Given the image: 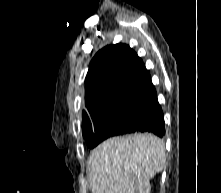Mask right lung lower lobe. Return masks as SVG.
<instances>
[{
  "instance_id": "right-lung-lower-lobe-1",
  "label": "right lung lower lobe",
  "mask_w": 221,
  "mask_h": 193,
  "mask_svg": "<svg viewBox=\"0 0 221 193\" xmlns=\"http://www.w3.org/2000/svg\"><path fill=\"white\" fill-rule=\"evenodd\" d=\"M152 110L137 124L123 132V134H129L134 132H150L159 137H163L165 134V124L162 109L158 103L157 95L150 101Z\"/></svg>"
}]
</instances>
